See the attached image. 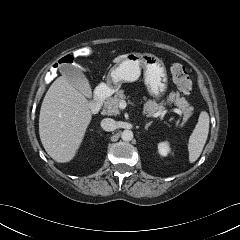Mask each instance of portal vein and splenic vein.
I'll list each match as a JSON object with an SVG mask.
<instances>
[{
    "mask_svg": "<svg viewBox=\"0 0 240 240\" xmlns=\"http://www.w3.org/2000/svg\"><path fill=\"white\" fill-rule=\"evenodd\" d=\"M119 108H121V109H125V108H126V102H125L124 100H121V101H120V103H119ZM166 112H167V111L158 112V113H155L153 116H154V117H158L159 115H162V116H163V115L166 114ZM173 112H175V113H177V114H179V115L182 114L181 110H179V109H177V108L173 109Z\"/></svg>",
    "mask_w": 240,
    "mask_h": 240,
    "instance_id": "18ae733b",
    "label": "portal vein and splenic vein"
}]
</instances>
